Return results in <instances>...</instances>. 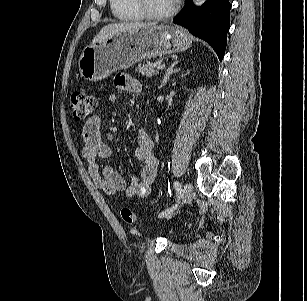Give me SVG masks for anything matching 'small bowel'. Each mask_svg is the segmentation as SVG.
I'll list each match as a JSON object with an SVG mask.
<instances>
[{
    "mask_svg": "<svg viewBox=\"0 0 307 301\" xmlns=\"http://www.w3.org/2000/svg\"><path fill=\"white\" fill-rule=\"evenodd\" d=\"M116 85L119 89L130 93H137L142 89L137 79L126 74L116 77ZM113 99L114 97L110 96V100ZM82 140L81 153L88 163V173L102 192L116 195L124 191L128 197H144L150 193L158 170V160L154 154L153 140L148 132L142 129L137 133L134 155L142 163V170L140 177H131L128 184L118 172L99 164V160L110 156L111 148L102 138L97 115L88 119L83 125Z\"/></svg>",
    "mask_w": 307,
    "mask_h": 301,
    "instance_id": "c3829d8e",
    "label": "small bowel"
}]
</instances>
